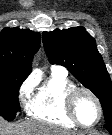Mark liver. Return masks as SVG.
Returning <instances> with one entry per match:
<instances>
[{"instance_id": "liver-1", "label": "liver", "mask_w": 112, "mask_h": 135, "mask_svg": "<svg viewBox=\"0 0 112 135\" xmlns=\"http://www.w3.org/2000/svg\"><path fill=\"white\" fill-rule=\"evenodd\" d=\"M0 135H75L48 124L36 121H25L17 124H8L0 117Z\"/></svg>"}]
</instances>
